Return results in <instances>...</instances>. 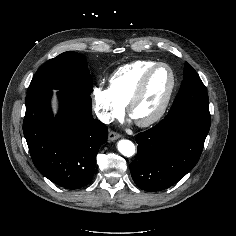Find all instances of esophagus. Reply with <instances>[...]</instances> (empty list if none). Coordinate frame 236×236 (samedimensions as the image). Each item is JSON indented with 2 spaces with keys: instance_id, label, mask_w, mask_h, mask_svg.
<instances>
[{
  "instance_id": "esophagus-1",
  "label": "esophagus",
  "mask_w": 236,
  "mask_h": 236,
  "mask_svg": "<svg viewBox=\"0 0 236 236\" xmlns=\"http://www.w3.org/2000/svg\"><path fill=\"white\" fill-rule=\"evenodd\" d=\"M121 137V135L117 132H114V131H110L109 134H108V139L109 141H114V140H117Z\"/></svg>"
}]
</instances>
